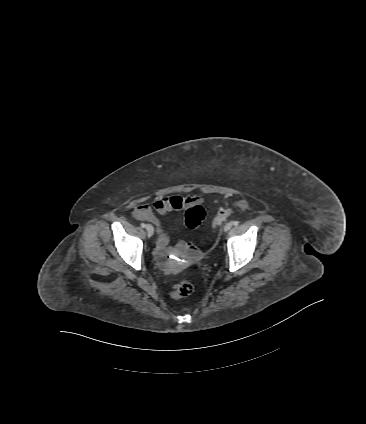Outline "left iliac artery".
<instances>
[{
	"mask_svg": "<svg viewBox=\"0 0 366 424\" xmlns=\"http://www.w3.org/2000/svg\"><path fill=\"white\" fill-rule=\"evenodd\" d=\"M232 224H233L234 226H237V225L239 224V222H238V221H233V222H232Z\"/></svg>",
	"mask_w": 366,
	"mask_h": 424,
	"instance_id": "1",
	"label": "left iliac artery"
}]
</instances>
